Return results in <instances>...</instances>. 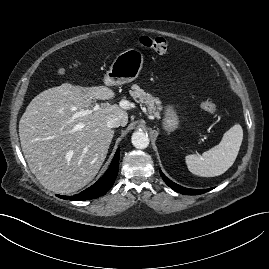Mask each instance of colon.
Masks as SVG:
<instances>
[{
  "label": "colon",
  "mask_w": 269,
  "mask_h": 269,
  "mask_svg": "<svg viewBox=\"0 0 269 269\" xmlns=\"http://www.w3.org/2000/svg\"><path fill=\"white\" fill-rule=\"evenodd\" d=\"M139 43L143 48L151 50L158 54H164L167 51L168 47L167 41L161 37L142 36L139 39ZM76 66V63L72 64V67ZM59 72L62 74L64 73V70L61 69ZM201 106L208 113L216 114L218 112L216 104L209 98L204 99L201 103Z\"/></svg>",
  "instance_id": "1"
}]
</instances>
